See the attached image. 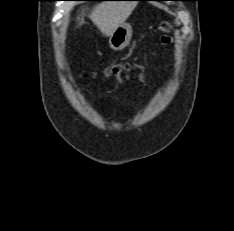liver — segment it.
<instances>
[{
  "instance_id": "obj_1",
  "label": "liver",
  "mask_w": 234,
  "mask_h": 231,
  "mask_svg": "<svg viewBox=\"0 0 234 231\" xmlns=\"http://www.w3.org/2000/svg\"><path fill=\"white\" fill-rule=\"evenodd\" d=\"M135 6L136 3L130 1H105L95 5L88 17L105 36L110 37L125 23ZM84 15L83 11L77 17L79 26L83 23Z\"/></svg>"
}]
</instances>
